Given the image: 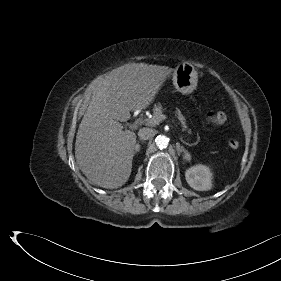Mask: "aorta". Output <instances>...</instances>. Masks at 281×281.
<instances>
[{
    "label": "aorta",
    "instance_id": "762f6f07",
    "mask_svg": "<svg viewBox=\"0 0 281 281\" xmlns=\"http://www.w3.org/2000/svg\"><path fill=\"white\" fill-rule=\"evenodd\" d=\"M157 147L164 149L168 146L169 138L164 135H158L155 139Z\"/></svg>",
    "mask_w": 281,
    "mask_h": 281
}]
</instances>
